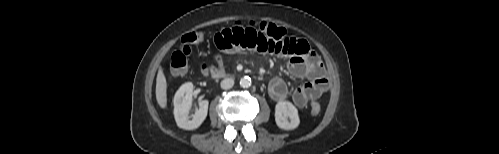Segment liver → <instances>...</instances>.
<instances>
[{
  "mask_svg": "<svg viewBox=\"0 0 499 154\" xmlns=\"http://www.w3.org/2000/svg\"><path fill=\"white\" fill-rule=\"evenodd\" d=\"M156 100L162 109L167 108V81L162 66H159L156 78Z\"/></svg>",
  "mask_w": 499,
  "mask_h": 154,
  "instance_id": "obj_1",
  "label": "liver"
}]
</instances>
